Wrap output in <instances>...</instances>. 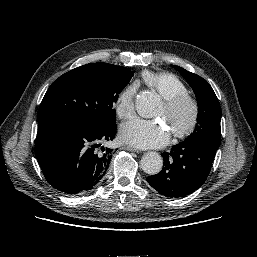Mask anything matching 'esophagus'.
<instances>
[{"instance_id": "1", "label": "esophagus", "mask_w": 257, "mask_h": 257, "mask_svg": "<svg viewBox=\"0 0 257 257\" xmlns=\"http://www.w3.org/2000/svg\"><path fill=\"white\" fill-rule=\"evenodd\" d=\"M124 149L127 150V151H131V152H136L137 149L132 147V146H124Z\"/></svg>"}]
</instances>
